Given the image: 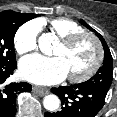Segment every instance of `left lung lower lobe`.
<instances>
[{
	"mask_svg": "<svg viewBox=\"0 0 117 117\" xmlns=\"http://www.w3.org/2000/svg\"><path fill=\"white\" fill-rule=\"evenodd\" d=\"M61 99L62 110L45 117H94L103 107L106 93L83 83L52 88Z\"/></svg>",
	"mask_w": 117,
	"mask_h": 117,
	"instance_id": "0a47b994",
	"label": "left lung lower lobe"
}]
</instances>
